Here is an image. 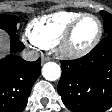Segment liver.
Wrapping results in <instances>:
<instances>
[{"label": "liver", "instance_id": "liver-1", "mask_svg": "<svg viewBox=\"0 0 112 112\" xmlns=\"http://www.w3.org/2000/svg\"><path fill=\"white\" fill-rule=\"evenodd\" d=\"M9 47L8 35L3 30H0V57L7 51Z\"/></svg>", "mask_w": 112, "mask_h": 112}]
</instances>
